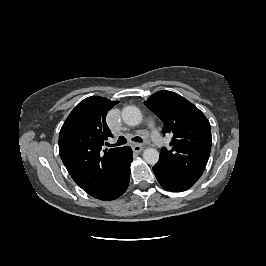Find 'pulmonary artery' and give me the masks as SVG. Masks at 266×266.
<instances>
[{
	"label": "pulmonary artery",
	"mask_w": 266,
	"mask_h": 266,
	"mask_svg": "<svg viewBox=\"0 0 266 266\" xmlns=\"http://www.w3.org/2000/svg\"><path fill=\"white\" fill-rule=\"evenodd\" d=\"M150 127H151V132H150V137L154 143V145L158 148L163 147L164 145V140L161 137L160 133L158 132V130L156 129V126L153 122L150 123Z\"/></svg>",
	"instance_id": "obj_1"
}]
</instances>
